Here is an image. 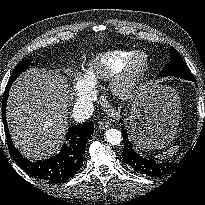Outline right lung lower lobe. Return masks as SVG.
Instances as JSON below:
<instances>
[{
    "mask_svg": "<svg viewBox=\"0 0 205 205\" xmlns=\"http://www.w3.org/2000/svg\"><path fill=\"white\" fill-rule=\"evenodd\" d=\"M11 85L12 83L10 82L7 84L2 100V119L11 157L23 170L37 179L46 180L52 183L67 181L82 167L85 145L94 131L93 122L90 121L71 127L66 135V140L68 142L63 144L60 153L49 159L33 163L29 159L23 157L14 147L8 131L6 122V101Z\"/></svg>",
    "mask_w": 205,
    "mask_h": 205,
    "instance_id": "1",
    "label": "right lung lower lobe"
}]
</instances>
